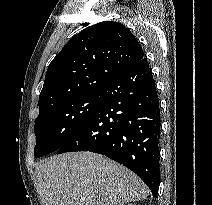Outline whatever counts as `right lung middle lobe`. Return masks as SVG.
<instances>
[{"label": "right lung middle lobe", "mask_w": 212, "mask_h": 205, "mask_svg": "<svg viewBox=\"0 0 212 205\" xmlns=\"http://www.w3.org/2000/svg\"><path fill=\"white\" fill-rule=\"evenodd\" d=\"M101 103V92L78 96L37 117L35 122L36 158L57 151L94 113Z\"/></svg>", "instance_id": "obj_1"}]
</instances>
